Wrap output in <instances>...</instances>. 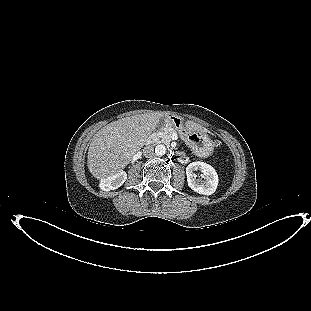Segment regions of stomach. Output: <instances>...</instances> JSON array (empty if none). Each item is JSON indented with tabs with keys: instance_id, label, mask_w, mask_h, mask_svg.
<instances>
[{
	"instance_id": "1",
	"label": "stomach",
	"mask_w": 311,
	"mask_h": 311,
	"mask_svg": "<svg viewBox=\"0 0 311 311\" xmlns=\"http://www.w3.org/2000/svg\"><path fill=\"white\" fill-rule=\"evenodd\" d=\"M172 126L186 140L193 153L199 157H208L213 153L214 144L202 131L190 129L178 116L167 115L162 126Z\"/></svg>"
}]
</instances>
